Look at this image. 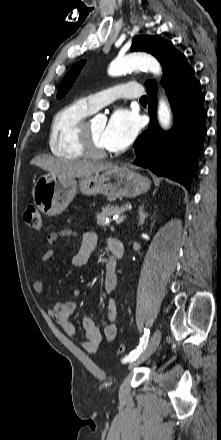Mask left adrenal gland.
<instances>
[{"label": "left adrenal gland", "instance_id": "1", "mask_svg": "<svg viewBox=\"0 0 221 440\" xmlns=\"http://www.w3.org/2000/svg\"><path fill=\"white\" fill-rule=\"evenodd\" d=\"M139 220H138V225L142 226L145 219L148 217V213L144 212V205L139 207Z\"/></svg>", "mask_w": 221, "mask_h": 440}]
</instances>
